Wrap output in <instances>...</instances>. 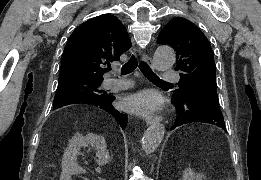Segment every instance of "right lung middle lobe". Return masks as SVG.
I'll return each mask as SVG.
<instances>
[{"mask_svg": "<svg viewBox=\"0 0 261 180\" xmlns=\"http://www.w3.org/2000/svg\"><path fill=\"white\" fill-rule=\"evenodd\" d=\"M103 80H66L58 82L57 93L54 97V109L59 108L66 101L77 98L86 97L96 99L106 92L98 90Z\"/></svg>", "mask_w": 261, "mask_h": 180, "instance_id": "dd1d6c3e", "label": "right lung middle lobe"}]
</instances>
